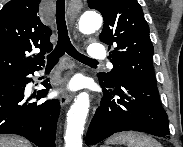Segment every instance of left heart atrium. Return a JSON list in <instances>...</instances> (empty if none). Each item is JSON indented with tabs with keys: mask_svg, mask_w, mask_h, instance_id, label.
<instances>
[{
	"mask_svg": "<svg viewBox=\"0 0 183 147\" xmlns=\"http://www.w3.org/2000/svg\"><path fill=\"white\" fill-rule=\"evenodd\" d=\"M78 87V83H76V82H73L72 84H71V88H77Z\"/></svg>",
	"mask_w": 183,
	"mask_h": 147,
	"instance_id": "1",
	"label": "left heart atrium"
}]
</instances>
